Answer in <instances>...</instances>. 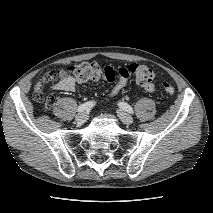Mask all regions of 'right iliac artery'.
<instances>
[{
    "mask_svg": "<svg viewBox=\"0 0 213 213\" xmlns=\"http://www.w3.org/2000/svg\"><path fill=\"white\" fill-rule=\"evenodd\" d=\"M95 105L94 101H88L82 105H80L77 109L78 112H83L85 110L91 109Z\"/></svg>",
    "mask_w": 213,
    "mask_h": 213,
    "instance_id": "right-iliac-artery-1",
    "label": "right iliac artery"
}]
</instances>
